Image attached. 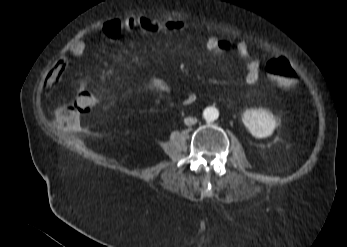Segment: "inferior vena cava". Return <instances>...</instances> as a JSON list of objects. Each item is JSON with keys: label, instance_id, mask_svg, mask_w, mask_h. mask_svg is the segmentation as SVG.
Returning a JSON list of instances; mask_svg holds the SVG:
<instances>
[{"label": "inferior vena cava", "instance_id": "1", "mask_svg": "<svg viewBox=\"0 0 347 247\" xmlns=\"http://www.w3.org/2000/svg\"><path fill=\"white\" fill-rule=\"evenodd\" d=\"M196 122H197V119L194 118V117H186V118L184 119V123H185L186 125H194Z\"/></svg>", "mask_w": 347, "mask_h": 247}]
</instances>
